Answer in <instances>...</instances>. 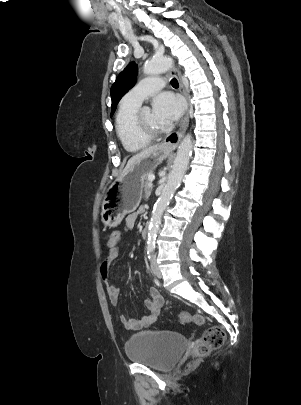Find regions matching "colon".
<instances>
[{"label":"colon","mask_w":301,"mask_h":405,"mask_svg":"<svg viewBox=\"0 0 301 405\" xmlns=\"http://www.w3.org/2000/svg\"><path fill=\"white\" fill-rule=\"evenodd\" d=\"M114 233L113 226L108 224L106 226L105 235L111 236ZM179 319L182 323H188L191 320V316L188 312L182 311L179 314ZM194 321L197 324H203L204 318L200 315L194 317ZM225 340V332L223 329L217 326L208 328L203 336L194 341L191 349L192 359H199L208 355L211 351L219 349ZM192 363H188L186 368L190 369Z\"/></svg>","instance_id":"obj_1"}]
</instances>
